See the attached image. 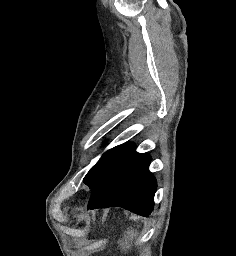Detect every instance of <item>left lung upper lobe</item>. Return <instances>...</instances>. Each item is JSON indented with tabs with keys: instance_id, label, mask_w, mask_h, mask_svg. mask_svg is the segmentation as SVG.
<instances>
[{
	"instance_id": "left-lung-upper-lobe-1",
	"label": "left lung upper lobe",
	"mask_w": 236,
	"mask_h": 256,
	"mask_svg": "<svg viewBox=\"0 0 236 256\" xmlns=\"http://www.w3.org/2000/svg\"><path fill=\"white\" fill-rule=\"evenodd\" d=\"M128 145L124 143L106 151L86 174L83 179L84 184L94 191L111 173Z\"/></svg>"
}]
</instances>
